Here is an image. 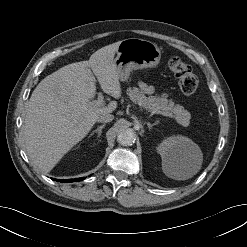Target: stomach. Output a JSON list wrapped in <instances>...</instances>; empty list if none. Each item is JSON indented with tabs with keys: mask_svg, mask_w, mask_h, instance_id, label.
<instances>
[{
	"mask_svg": "<svg viewBox=\"0 0 247 247\" xmlns=\"http://www.w3.org/2000/svg\"><path fill=\"white\" fill-rule=\"evenodd\" d=\"M114 64L120 81H126L132 70L154 68L161 59V50L153 42L139 38L120 41Z\"/></svg>",
	"mask_w": 247,
	"mask_h": 247,
	"instance_id": "0dacf381",
	"label": "stomach"
}]
</instances>
